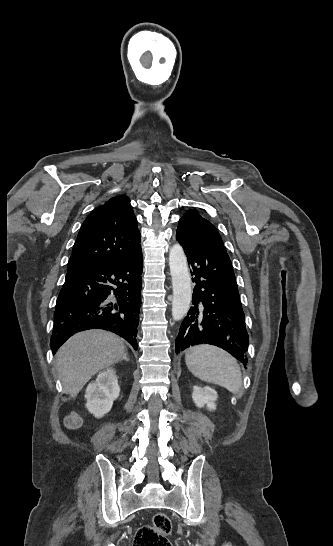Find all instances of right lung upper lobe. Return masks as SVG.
I'll return each mask as SVG.
<instances>
[{
    "label": "right lung upper lobe",
    "mask_w": 333,
    "mask_h": 546,
    "mask_svg": "<svg viewBox=\"0 0 333 546\" xmlns=\"http://www.w3.org/2000/svg\"><path fill=\"white\" fill-rule=\"evenodd\" d=\"M130 200L116 196L95 208L85 219L67 271L85 270L126 259L140 247V232Z\"/></svg>",
    "instance_id": "obj_1"
}]
</instances>
